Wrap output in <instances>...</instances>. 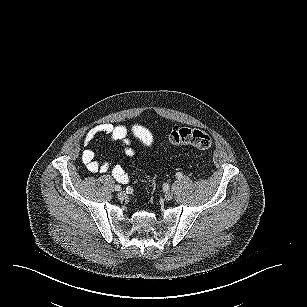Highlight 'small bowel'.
<instances>
[{
  "label": "small bowel",
  "mask_w": 307,
  "mask_h": 307,
  "mask_svg": "<svg viewBox=\"0 0 307 307\" xmlns=\"http://www.w3.org/2000/svg\"><path fill=\"white\" fill-rule=\"evenodd\" d=\"M131 132L146 147H151L154 143L152 133L140 124H133ZM99 135H106L113 142L120 143L125 153L132 157L135 152L131 148L128 138V129L123 125H112L109 123L98 124L90 128L83 139L85 149L81 153V161L90 173H107L111 171L113 178L119 183H127L130 180L129 174L119 165H111L108 162H99L95 158L94 151L89 148L92 141Z\"/></svg>",
  "instance_id": "c3829d8e"
}]
</instances>
